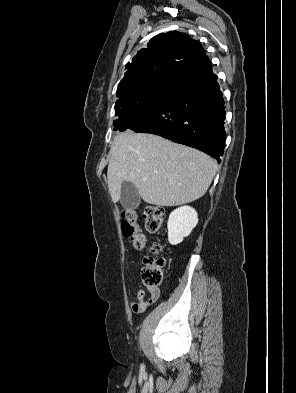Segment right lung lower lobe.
<instances>
[{"label":"right lung lower lobe","mask_w":296,"mask_h":393,"mask_svg":"<svg viewBox=\"0 0 296 393\" xmlns=\"http://www.w3.org/2000/svg\"><path fill=\"white\" fill-rule=\"evenodd\" d=\"M222 95L205 56L179 69L122 131L156 134L197 148L220 163L226 139Z\"/></svg>","instance_id":"98d812e1"}]
</instances>
